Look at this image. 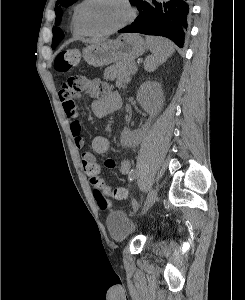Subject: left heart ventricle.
I'll return each instance as SVG.
<instances>
[{
	"label": "left heart ventricle",
	"mask_w": 245,
	"mask_h": 300,
	"mask_svg": "<svg viewBox=\"0 0 245 300\" xmlns=\"http://www.w3.org/2000/svg\"><path fill=\"white\" fill-rule=\"evenodd\" d=\"M126 17L127 9L121 0H92L82 13L84 26L93 32L111 29Z\"/></svg>",
	"instance_id": "obj_1"
}]
</instances>
